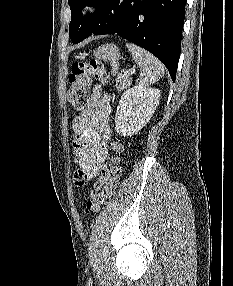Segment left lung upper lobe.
<instances>
[{
    "mask_svg": "<svg viewBox=\"0 0 233 286\" xmlns=\"http://www.w3.org/2000/svg\"><path fill=\"white\" fill-rule=\"evenodd\" d=\"M104 2L105 0H68L72 13L69 25V36L72 42L78 40L87 30ZM86 5H94L96 7V13L92 16L83 17L81 11Z\"/></svg>",
    "mask_w": 233,
    "mask_h": 286,
    "instance_id": "1",
    "label": "left lung upper lobe"
}]
</instances>
